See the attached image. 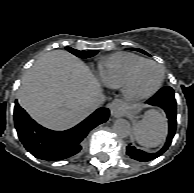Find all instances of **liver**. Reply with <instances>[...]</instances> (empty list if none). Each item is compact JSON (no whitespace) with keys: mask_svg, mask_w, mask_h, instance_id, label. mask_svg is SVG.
<instances>
[{"mask_svg":"<svg viewBox=\"0 0 194 193\" xmlns=\"http://www.w3.org/2000/svg\"><path fill=\"white\" fill-rule=\"evenodd\" d=\"M101 92L88 66L66 51L54 50L26 71L18 102L41 125L65 130L91 114L88 103Z\"/></svg>","mask_w":194,"mask_h":193,"instance_id":"obj_1","label":"liver"}]
</instances>
